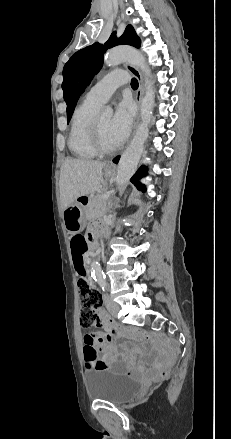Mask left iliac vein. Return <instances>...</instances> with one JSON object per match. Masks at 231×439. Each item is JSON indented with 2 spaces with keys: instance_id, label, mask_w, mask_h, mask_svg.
I'll return each mask as SVG.
<instances>
[{
  "instance_id": "1",
  "label": "left iliac vein",
  "mask_w": 231,
  "mask_h": 439,
  "mask_svg": "<svg viewBox=\"0 0 231 439\" xmlns=\"http://www.w3.org/2000/svg\"><path fill=\"white\" fill-rule=\"evenodd\" d=\"M104 301H105V305L108 309V311L110 312L111 315L116 316L120 307L118 304H116L110 297L108 294H104Z\"/></svg>"
}]
</instances>
